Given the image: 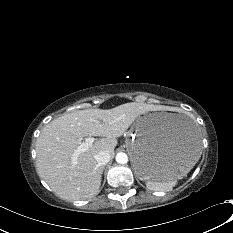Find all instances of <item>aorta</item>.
Masks as SVG:
<instances>
[{
    "label": "aorta",
    "mask_w": 233,
    "mask_h": 233,
    "mask_svg": "<svg viewBox=\"0 0 233 233\" xmlns=\"http://www.w3.org/2000/svg\"><path fill=\"white\" fill-rule=\"evenodd\" d=\"M116 162L119 164H126L128 162V156L126 153L119 152L116 155Z\"/></svg>",
    "instance_id": "aorta-1"
}]
</instances>
